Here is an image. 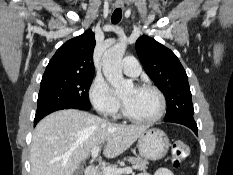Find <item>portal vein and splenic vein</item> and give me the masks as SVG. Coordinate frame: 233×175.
I'll return each mask as SVG.
<instances>
[{
    "label": "portal vein and splenic vein",
    "instance_id": "1",
    "mask_svg": "<svg viewBox=\"0 0 233 175\" xmlns=\"http://www.w3.org/2000/svg\"><path fill=\"white\" fill-rule=\"evenodd\" d=\"M100 148L98 146L94 147L91 151L92 158H96L98 156ZM102 172L104 175H121V174H130L132 173V168L126 167V168H119L115 169L112 167H102Z\"/></svg>",
    "mask_w": 233,
    "mask_h": 175
}]
</instances>
